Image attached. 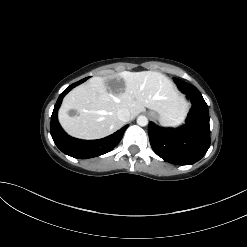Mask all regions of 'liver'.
Instances as JSON below:
<instances>
[{"instance_id": "1", "label": "liver", "mask_w": 247, "mask_h": 247, "mask_svg": "<svg viewBox=\"0 0 247 247\" xmlns=\"http://www.w3.org/2000/svg\"><path fill=\"white\" fill-rule=\"evenodd\" d=\"M116 81L118 87H112ZM125 108L130 119L145 111H156L164 125L181 124L188 106L172 81L155 71H123L108 77H92L86 83L70 91L63 99L58 119L71 136L94 140L104 138L124 122L118 119V110ZM69 110L77 115L69 116Z\"/></svg>"}]
</instances>
